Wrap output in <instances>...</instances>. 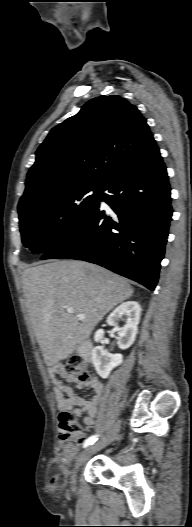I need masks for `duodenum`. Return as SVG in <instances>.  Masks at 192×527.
Instances as JSON below:
<instances>
[{
  "label": "duodenum",
  "instance_id": "obj_1",
  "mask_svg": "<svg viewBox=\"0 0 192 527\" xmlns=\"http://www.w3.org/2000/svg\"><path fill=\"white\" fill-rule=\"evenodd\" d=\"M80 353L85 356V357H89L91 355V352H92V344L90 342H85L81 347H80Z\"/></svg>",
  "mask_w": 192,
  "mask_h": 527
}]
</instances>
